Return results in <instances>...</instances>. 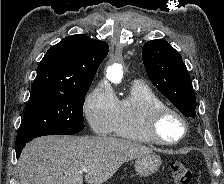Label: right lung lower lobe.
Listing matches in <instances>:
<instances>
[{
  "label": "right lung lower lobe",
  "instance_id": "1",
  "mask_svg": "<svg viewBox=\"0 0 224 184\" xmlns=\"http://www.w3.org/2000/svg\"><path fill=\"white\" fill-rule=\"evenodd\" d=\"M31 140H29V141H31ZM29 141H27V142H25V143H23L19 146H16V156H17V158L20 156L22 149L25 147L26 143H28Z\"/></svg>",
  "mask_w": 224,
  "mask_h": 184
}]
</instances>
